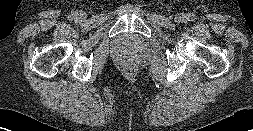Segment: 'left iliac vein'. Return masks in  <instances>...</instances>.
Here are the masks:
<instances>
[{
	"instance_id": "4c4485c4",
	"label": "left iliac vein",
	"mask_w": 253,
	"mask_h": 131,
	"mask_svg": "<svg viewBox=\"0 0 253 131\" xmlns=\"http://www.w3.org/2000/svg\"><path fill=\"white\" fill-rule=\"evenodd\" d=\"M175 19L177 22H183L186 20V16L184 14H178Z\"/></svg>"
}]
</instances>
